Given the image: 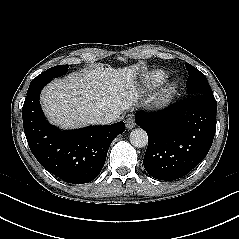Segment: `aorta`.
I'll return each instance as SVG.
<instances>
[{
    "label": "aorta",
    "instance_id": "obj_1",
    "mask_svg": "<svg viewBox=\"0 0 239 239\" xmlns=\"http://www.w3.org/2000/svg\"><path fill=\"white\" fill-rule=\"evenodd\" d=\"M130 142L134 147H145L148 144V135L143 129L136 128L130 133Z\"/></svg>",
    "mask_w": 239,
    "mask_h": 239
}]
</instances>
